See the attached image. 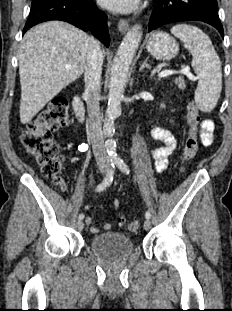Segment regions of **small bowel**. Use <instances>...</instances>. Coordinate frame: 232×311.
<instances>
[{"instance_id": "1", "label": "small bowel", "mask_w": 232, "mask_h": 311, "mask_svg": "<svg viewBox=\"0 0 232 311\" xmlns=\"http://www.w3.org/2000/svg\"><path fill=\"white\" fill-rule=\"evenodd\" d=\"M213 130H214L213 121L206 119L202 122L200 138H201L203 145L210 146L213 144V141H214ZM150 134L153 139L159 141L162 144L161 147L151 150V155L154 159L155 169L158 172H162L163 170L166 169L168 165V159L173 153V151L175 150L177 142H176L174 135L170 131L160 126L152 127L150 130ZM118 205L119 203L115 201L114 206L118 207ZM85 222L87 225H91L92 218L86 217ZM110 228H111V224L106 223L102 226V228L91 226L90 231L93 234H97V233H100L101 230H109Z\"/></svg>"}]
</instances>
